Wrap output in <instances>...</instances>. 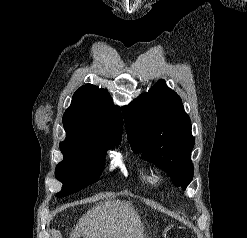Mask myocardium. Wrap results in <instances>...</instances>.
Returning <instances> with one entry per match:
<instances>
[{
    "label": "myocardium",
    "mask_w": 247,
    "mask_h": 238,
    "mask_svg": "<svg viewBox=\"0 0 247 238\" xmlns=\"http://www.w3.org/2000/svg\"><path fill=\"white\" fill-rule=\"evenodd\" d=\"M156 178L159 180L161 179V173H157Z\"/></svg>",
    "instance_id": "f54148a6"
}]
</instances>
